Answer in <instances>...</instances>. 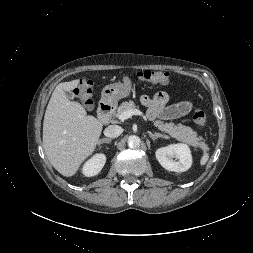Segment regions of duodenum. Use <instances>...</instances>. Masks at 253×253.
Listing matches in <instances>:
<instances>
[{"label":"duodenum","mask_w":253,"mask_h":253,"mask_svg":"<svg viewBox=\"0 0 253 253\" xmlns=\"http://www.w3.org/2000/svg\"><path fill=\"white\" fill-rule=\"evenodd\" d=\"M113 111H114V105L112 104V102L108 100L102 101L98 108L99 119L104 124L109 123Z\"/></svg>","instance_id":"410a0bca"}]
</instances>
